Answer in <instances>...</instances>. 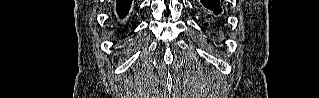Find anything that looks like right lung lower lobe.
Masks as SVG:
<instances>
[{"mask_svg": "<svg viewBox=\"0 0 319 98\" xmlns=\"http://www.w3.org/2000/svg\"><path fill=\"white\" fill-rule=\"evenodd\" d=\"M131 0H119L117 1L116 12L120 18H124L130 9Z\"/></svg>", "mask_w": 319, "mask_h": 98, "instance_id": "98d812e1", "label": "right lung lower lobe"}]
</instances>
